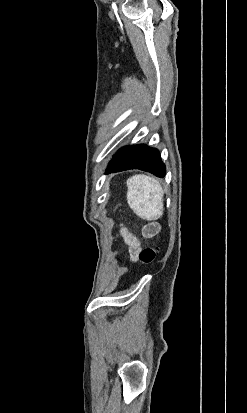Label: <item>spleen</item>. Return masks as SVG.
Instances as JSON below:
<instances>
[{"mask_svg": "<svg viewBox=\"0 0 247 413\" xmlns=\"http://www.w3.org/2000/svg\"><path fill=\"white\" fill-rule=\"evenodd\" d=\"M127 202L139 217L159 219L163 213L164 190L152 176L147 174H134L126 180Z\"/></svg>", "mask_w": 247, "mask_h": 413, "instance_id": "3e777b00", "label": "spleen"}]
</instances>
